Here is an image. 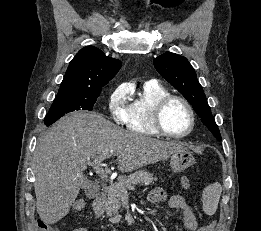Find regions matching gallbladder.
Wrapping results in <instances>:
<instances>
[{
	"instance_id": "bac80fb5",
	"label": "gallbladder",
	"mask_w": 261,
	"mask_h": 231,
	"mask_svg": "<svg viewBox=\"0 0 261 231\" xmlns=\"http://www.w3.org/2000/svg\"><path fill=\"white\" fill-rule=\"evenodd\" d=\"M99 191V187L92 182H88V188H86L85 193L87 196L96 195Z\"/></svg>"
}]
</instances>
